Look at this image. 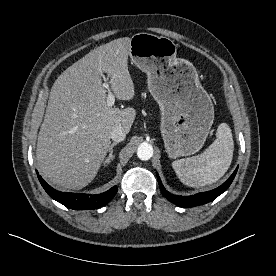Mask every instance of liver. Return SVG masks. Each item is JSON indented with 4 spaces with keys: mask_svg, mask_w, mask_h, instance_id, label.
Here are the masks:
<instances>
[{
    "mask_svg": "<svg viewBox=\"0 0 276 276\" xmlns=\"http://www.w3.org/2000/svg\"><path fill=\"white\" fill-rule=\"evenodd\" d=\"M130 42L123 37L91 50L54 82L36 148L38 169L53 184L73 190L87 186L109 151L113 128L130 131L135 109L109 107L101 79L107 73L117 99H133Z\"/></svg>",
    "mask_w": 276,
    "mask_h": 276,
    "instance_id": "6515ba94",
    "label": "liver"
}]
</instances>
